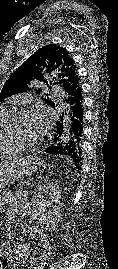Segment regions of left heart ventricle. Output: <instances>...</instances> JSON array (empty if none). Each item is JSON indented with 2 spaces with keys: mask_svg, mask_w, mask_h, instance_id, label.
<instances>
[{
  "mask_svg": "<svg viewBox=\"0 0 118 269\" xmlns=\"http://www.w3.org/2000/svg\"><path fill=\"white\" fill-rule=\"evenodd\" d=\"M13 133L17 138L31 142L39 139L42 134L31 113H26L17 120L14 125Z\"/></svg>",
  "mask_w": 118,
  "mask_h": 269,
  "instance_id": "1",
  "label": "left heart ventricle"
}]
</instances>
